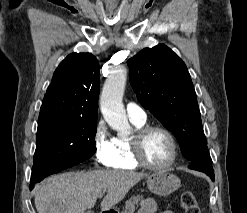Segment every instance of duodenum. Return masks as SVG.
<instances>
[{
    "label": "duodenum",
    "mask_w": 247,
    "mask_h": 213,
    "mask_svg": "<svg viewBox=\"0 0 247 213\" xmlns=\"http://www.w3.org/2000/svg\"><path fill=\"white\" fill-rule=\"evenodd\" d=\"M100 213H112V212H110V211H102Z\"/></svg>",
    "instance_id": "1"
}]
</instances>
